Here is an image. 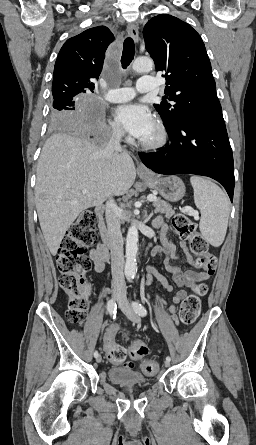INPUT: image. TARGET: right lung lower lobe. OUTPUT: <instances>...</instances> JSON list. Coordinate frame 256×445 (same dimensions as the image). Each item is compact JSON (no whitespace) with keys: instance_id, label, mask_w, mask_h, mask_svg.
<instances>
[{"instance_id":"1","label":"right lung lower lobe","mask_w":256,"mask_h":445,"mask_svg":"<svg viewBox=\"0 0 256 445\" xmlns=\"http://www.w3.org/2000/svg\"><path fill=\"white\" fill-rule=\"evenodd\" d=\"M92 120L94 121L95 124V132L99 133V134H105L106 133V129L104 127V123H103V112H92L91 115Z\"/></svg>"}]
</instances>
